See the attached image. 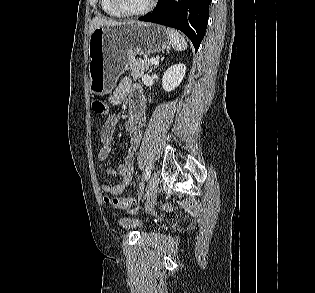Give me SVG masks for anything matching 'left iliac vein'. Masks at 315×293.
<instances>
[{
	"label": "left iliac vein",
	"mask_w": 315,
	"mask_h": 293,
	"mask_svg": "<svg viewBox=\"0 0 315 293\" xmlns=\"http://www.w3.org/2000/svg\"><path fill=\"white\" fill-rule=\"evenodd\" d=\"M158 183H159L158 173L154 172L152 174L150 180H149L148 188H147V191H146V194H145V198H149V197H151L152 195L155 194L157 186H158Z\"/></svg>",
	"instance_id": "4c4485c4"
}]
</instances>
